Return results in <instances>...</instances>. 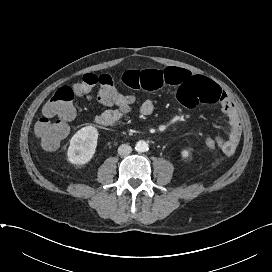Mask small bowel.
<instances>
[{"mask_svg":"<svg viewBox=\"0 0 272 272\" xmlns=\"http://www.w3.org/2000/svg\"><path fill=\"white\" fill-rule=\"evenodd\" d=\"M122 83L133 90H158L165 86H176L178 101L186 108L192 109L201 103H213L220 107L222 115L228 119L227 136L213 138L226 156L234 155L240 142L242 125L239 113L226 93L213 81L203 76L194 75L189 71L176 67L163 69L129 70L123 73ZM152 101L145 100L139 106L143 116L152 114ZM129 112L122 108L105 110L95 117V123L103 128L112 127Z\"/></svg>","mask_w":272,"mask_h":272,"instance_id":"small-bowel-1","label":"small bowel"}]
</instances>
